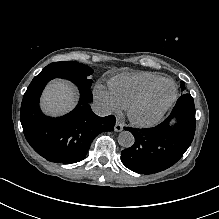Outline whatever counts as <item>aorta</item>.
I'll use <instances>...</instances> for the list:
<instances>
[{
	"label": "aorta",
	"mask_w": 219,
	"mask_h": 219,
	"mask_svg": "<svg viewBox=\"0 0 219 219\" xmlns=\"http://www.w3.org/2000/svg\"><path fill=\"white\" fill-rule=\"evenodd\" d=\"M135 138L129 131H122L118 135V143L124 148H130L134 144Z\"/></svg>",
	"instance_id": "aorta-1"
}]
</instances>
